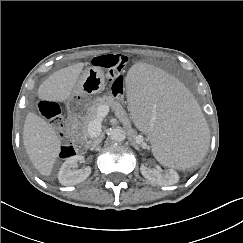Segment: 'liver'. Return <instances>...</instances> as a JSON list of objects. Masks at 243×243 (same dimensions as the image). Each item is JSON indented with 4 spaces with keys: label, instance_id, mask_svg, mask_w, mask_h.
<instances>
[{
    "label": "liver",
    "instance_id": "6515ba94",
    "mask_svg": "<svg viewBox=\"0 0 243 243\" xmlns=\"http://www.w3.org/2000/svg\"><path fill=\"white\" fill-rule=\"evenodd\" d=\"M84 65L77 63L53 73L39 86V98L51 102L67 101ZM23 143L33 166L41 175L49 176L61 147L56 131L44 119L29 112L24 123Z\"/></svg>",
    "mask_w": 243,
    "mask_h": 243
}]
</instances>
